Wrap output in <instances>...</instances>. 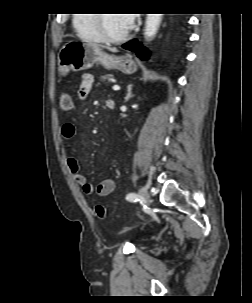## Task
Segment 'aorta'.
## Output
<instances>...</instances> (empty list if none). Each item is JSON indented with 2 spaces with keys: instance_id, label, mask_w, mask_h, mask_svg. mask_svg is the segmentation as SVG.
I'll use <instances>...</instances> for the list:
<instances>
[{
  "instance_id": "aorta-1",
  "label": "aorta",
  "mask_w": 252,
  "mask_h": 303,
  "mask_svg": "<svg viewBox=\"0 0 252 303\" xmlns=\"http://www.w3.org/2000/svg\"><path fill=\"white\" fill-rule=\"evenodd\" d=\"M162 20V14H147L144 36L147 40H151L155 37L160 23Z\"/></svg>"
}]
</instances>
